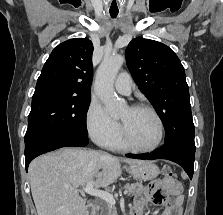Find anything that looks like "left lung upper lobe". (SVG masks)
I'll return each instance as SVG.
<instances>
[{
    "label": "left lung upper lobe",
    "mask_w": 223,
    "mask_h": 215,
    "mask_svg": "<svg viewBox=\"0 0 223 215\" xmlns=\"http://www.w3.org/2000/svg\"><path fill=\"white\" fill-rule=\"evenodd\" d=\"M127 66L165 128V143L194 141V124L184 68L165 44L137 37L126 48Z\"/></svg>",
    "instance_id": "1"
}]
</instances>
